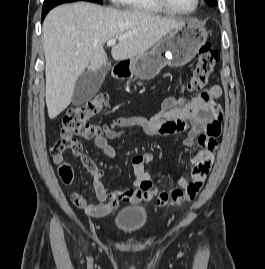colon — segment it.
<instances>
[{
  "mask_svg": "<svg viewBox=\"0 0 265 269\" xmlns=\"http://www.w3.org/2000/svg\"><path fill=\"white\" fill-rule=\"evenodd\" d=\"M218 61L219 52L212 44H203L199 49L196 66L186 89L188 91H197L204 88L209 83ZM107 102V95L99 94L85 104L67 111L62 120L60 138L52 146V152L58 162L61 161L60 154L64 150L72 148L76 137H90L100 133V129L91 123V119L103 111ZM116 126V124H111V128H105V131L107 129L112 130V128ZM219 133L220 122H212L209 126L208 134L218 136ZM58 173L64 183H71L73 179V169L70 165L61 164ZM199 190L193 185L186 191L180 188H176L170 192L152 191L149 192V198L155 199L157 203L162 206H176L180 205L185 200L193 199Z\"/></svg>",
  "mask_w": 265,
  "mask_h": 269,
  "instance_id": "1",
  "label": "colon"
}]
</instances>
